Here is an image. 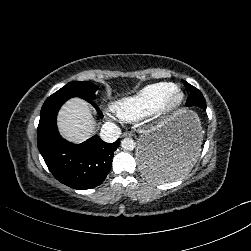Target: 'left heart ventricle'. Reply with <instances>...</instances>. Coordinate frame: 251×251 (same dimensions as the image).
<instances>
[{
    "label": "left heart ventricle",
    "mask_w": 251,
    "mask_h": 251,
    "mask_svg": "<svg viewBox=\"0 0 251 251\" xmlns=\"http://www.w3.org/2000/svg\"><path fill=\"white\" fill-rule=\"evenodd\" d=\"M168 91L173 94L169 103V108H174L179 104L181 96L180 94L176 93L172 87Z\"/></svg>",
    "instance_id": "obj_1"
}]
</instances>
